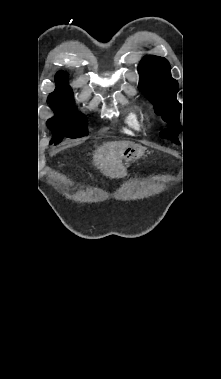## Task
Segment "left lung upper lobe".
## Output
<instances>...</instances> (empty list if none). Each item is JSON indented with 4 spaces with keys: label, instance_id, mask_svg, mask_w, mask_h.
<instances>
[{
    "label": "left lung upper lobe",
    "instance_id": "left-lung-upper-lobe-1",
    "mask_svg": "<svg viewBox=\"0 0 221 379\" xmlns=\"http://www.w3.org/2000/svg\"><path fill=\"white\" fill-rule=\"evenodd\" d=\"M139 89L152 102L155 112L170 125L162 136L179 144V114L181 105L176 99L178 82L171 77L169 62L162 57L147 55L139 66Z\"/></svg>",
    "mask_w": 221,
    "mask_h": 379
}]
</instances>
